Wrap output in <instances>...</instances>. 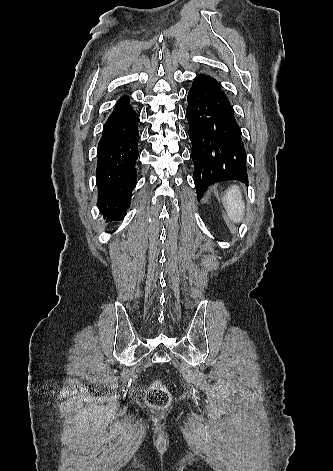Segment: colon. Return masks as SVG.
Instances as JSON below:
<instances>
[{
  "mask_svg": "<svg viewBox=\"0 0 333 471\" xmlns=\"http://www.w3.org/2000/svg\"><path fill=\"white\" fill-rule=\"evenodd\" d=\"M170 393L160 381H155L146 392V402L155 409H164L170 404Z\"/></svg>",
  "mask_w": 333,
  "mask_h": 471,
  "instance_id": "1",
  "label": "colon"
}]
</instances>
